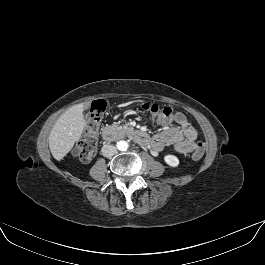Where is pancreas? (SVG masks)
<instances>
[{
  "label": "pancreas",
  "mask_w": 265,
  "mask_h": 265,
  "mask_svg": "<svg viewBox=\"0 0 265 265\" xmlns=\"http://www.w3.org/2000/svg\"><path fill=\"white\" fill-rule=\"evenodd\" d=\"M114 126H115L116 128H118L115 124H114ZM128 126H129L128 124H125V125H124V129H125V130H129L130 128H129Z\"/></svg>",
  "instance_id": "obj_1"
}]
</instances>
